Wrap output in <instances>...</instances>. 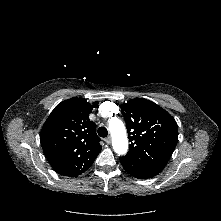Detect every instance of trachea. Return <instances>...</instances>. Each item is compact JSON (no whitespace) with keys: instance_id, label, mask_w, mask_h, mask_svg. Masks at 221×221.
Here are the masks:
<instances>
[{"instance_id":"3493384b","label":"trachea","mask_w":221,"mask_h":221,"mask_svg":"<svg viewBox=\"0 0 221 221\" xmlns=\"http://www.w3.org/2000/svg\"><path fill=\"white\" fill-rule=\"evenodd\" d=\"M98 135H99L100 137H107V135H108L107 129H106L105 127H100V128L98 129Z\"/></svg>"}]
</instances>
